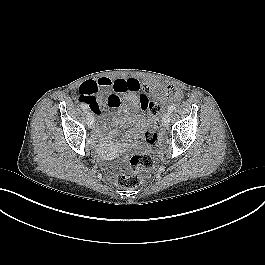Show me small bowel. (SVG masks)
<instances>
[{"instance_id":"small-bowel-1","label":"small bowel","mask_w":265,"mask_h":265,"mask_svg":"<svg viewBox=\"0 0 265 265\" xmlns=\"http://www.w3.org/2000/svg\"><path fill=\"white\" fill-rule=\"evenodd\" d=\"M156 86L153 83L142 84L137 78H119L111 79L101 77L97 80H89L84 82L79 88L78 99L81 103L86 104L93 115L100 116L101 108L108 105L117 108L121 122H126L127 106L125 102L134 104V109L138 113H146L150 109L151 95L147 91H153ZM111 90L113 93L107 94L106 91ZM115 99H111V96ZM118 95H122L123 103ZM178 94H175L177 97ZM95 139L102 143L104 135L99 127L95 129Z\"/></svg>"}]
</instances>
